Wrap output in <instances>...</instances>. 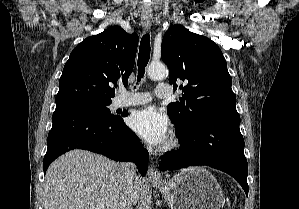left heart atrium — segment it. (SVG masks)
I'll return each instance as SVG.
<instances>
[{
  "mask_svg": "<svg viewBox=\"0 0 299 209\" xmlns=\"http://www.w3.org/2000/svg\"><path fill=\"white\" fill-rule=\"evenodd\" d=\"M129 125L135 133L151 145H162L168 137V118L155 107L135 111L130 117Z\"/></svg>",
  "mask_w": 299,
  "mask_h": 209,
  "instance_id": "1",
  "label": "left heart atrium"
}]
</instances>
